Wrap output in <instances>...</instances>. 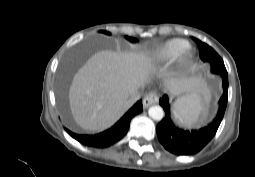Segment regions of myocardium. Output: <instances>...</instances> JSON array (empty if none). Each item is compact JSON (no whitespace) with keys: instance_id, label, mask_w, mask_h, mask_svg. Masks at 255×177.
<instances>
[{"instance_id":"myocardium-1","label":"myocardium","mask_w":255,"mask_h":177,"mask_svg":"<svg viewBox=\"0 0 255 177\" xmlns=\"http://www.w3.org/2000/svg\"><path fill=\"white\" fill-rule=\"evenodd\" d=\"M176 61V71L180 77H185L192 70L195 62V51L187 44L178 54Z\"/></svg>"}]
</instances>
